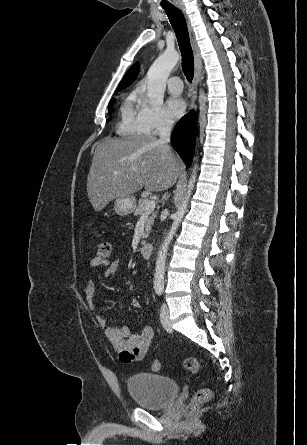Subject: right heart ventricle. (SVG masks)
<instances>
[{"instance_id": "obj_1", "label": "right heart ventricle", "mask_w": 307, "mask_h": 445, "mask_svg": "<svg viewBox=\"0 0 307 445\" xmlns=\"http://www.w3.org/2000/svg\"><path fill=\"white\" fill-rule=\"evenodd\" d=\"M144 107L142 92L138 89L128 91L122 100L121 121L117 128L120 135L143 133L140 114Z\"/></svg>"}]
</instances>
